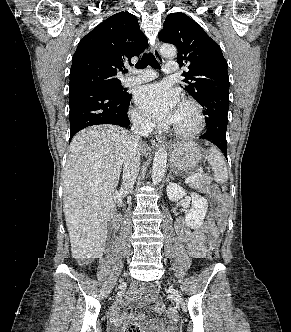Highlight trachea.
<instances>
[{
  "instance_id": "obj_1",
  "label": "trachea",
  "mask_w": 291,
  "mask_h": 332,
  "mask_svg": "<svg viewBox=\"0 0 291 332\" xmlns=\"http://www.w3.org/2000/svg\"><path fill=\"white\" fill-rule=\"evenodd\" d=\"M150 65L152 68L160 69V65L152 53H144L141 60L135 65L136 68L142 69Z\"/></svg>"
}]
</instances>
